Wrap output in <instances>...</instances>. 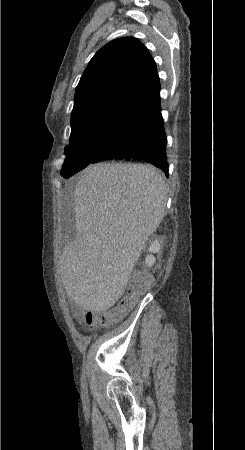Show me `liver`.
Instances as JSON below:
<instances>
[{
    "label": "liver",
    "mask_w": 245,
    "mask_h": 450,
    "mask_svg": "<svg viewBox=\"0 0 245 450\" xmlns=\"http://www.w3.org/2000/svg\"><path fill=\"white\" fill-rule=\"evenodd\" d=\"M167 185L152 165H89L74 192L76 239L60 269L67 296L100 313L124 294L131 273L165 213Z\"/></svg>",
    "instance_id": "liver-1"
}]
</instances>
